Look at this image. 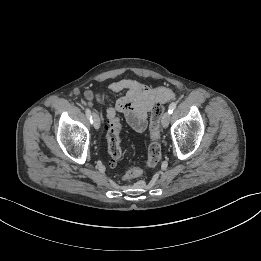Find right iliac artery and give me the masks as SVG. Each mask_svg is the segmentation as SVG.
<instances>
[{"mask_svg": "<svg viewBox=\"0 0 261 261\" xmlns=\"http://www.w3.org/2000/svg\"><path fill=\"white\" fill-rule=\"evenodd\" d=\"M85 113H86V116H87V118L89 119V121H90L91 123H93L91 111H90L88 108H86V109H85Z\"/></svg>", "mask_w": 261, "mask_h": 261, "instance_id": "obj_1", "label": "right iliac artery"}]
</instances>
